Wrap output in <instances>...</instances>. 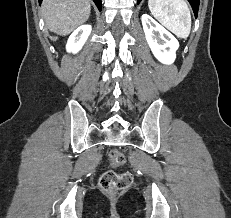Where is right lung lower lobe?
I'll return each mask as SVG.
<instances>
[{"instance_id":"1","label":"right lung lower lobe","mask_w":231,"mask_h":218,"mask_svg":"<svg viewBox=\"0 0 231 218\" xmlns=\"http://www.w3.org/2000/svg\"><path fill=\"white\" fill-rule=\"evenodd\" d=\"M42 0H39V3H41ZM98 7V9L101 11V0H93Z\"/></svg>"}]
</instances>
